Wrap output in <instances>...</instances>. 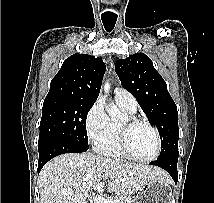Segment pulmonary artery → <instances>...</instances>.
I'll return each mask as SVG.
<instances>
[{
    "label": "pulmonary artery",
    "instance_id": "1",
    "mask_svg": "<svg viewBox=\"0 0 214 203\" xmlns=\"http://www.w3.org/2000/svg\"><path fill=\"white\" fill-rule=\"evenodd\" d=\"M115 97L116 100H119L122 102L124 105H126L128 108L131 110H136L137 107V102L133 95L129 93L127 90H125L122 87H117L115 89Z\"/></svg>",
    "mask_w": 214,
    "mask_h": 203
}]
</instances>
